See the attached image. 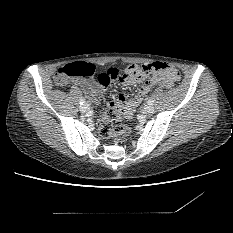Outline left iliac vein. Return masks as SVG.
I'll list each match as a JSON object with an SVG mask.
<instances>
[{"label":"left iliac vein","instance_id":"obj_1","mask_svg":"<svg viewBox=\"0 0 233 233\" xmlns=\"http://www.w3.org/2000/svg\"><path fill=\"white\" fill-rule=\"evenodd\" d=\"M144 111L146 113H153L154 112V107L152 105H145L144 106Z\"/></svg>","mask_w":233,"mask_h":233}]
</instances>
